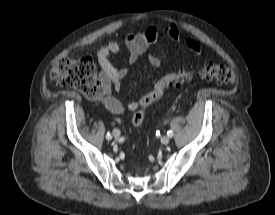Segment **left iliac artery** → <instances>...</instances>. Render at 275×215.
<instances>
[{"mask_svg":"<svg viewBox=\"0 0 275 215\" xmlns=\"http://www.w3.org/2000/svg\"><path fill=\"white\" fill-rule=\"evenodd\" d=\"M167 135L171 138V137H173V136H174V133H173V131H172V130H169V131L167 132Z\"/></svg>","mask_w":275,"mask_h":215,"instance_id":"1","label":"left iliac artery"}]
</instances>
